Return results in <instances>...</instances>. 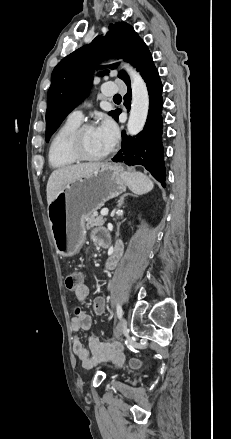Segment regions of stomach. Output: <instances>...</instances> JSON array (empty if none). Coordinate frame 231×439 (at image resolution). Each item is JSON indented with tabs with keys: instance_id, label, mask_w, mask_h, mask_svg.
Listing matches in <instances>:
<instances>
[{
	"instance_id": "obj_1",
	"label": "stomach",
	"mask_w": 231,
	"mask_h": 439,
	"mask_svg": "<svg viewBox=\"0 0 231 439\" xmlns=\"http://www.w3.org/2000/svg\"><path fill=\"white\" fill-rule=\"evenodd\" d=\"M125 171L104 164L93 173L69 183L48 205V219L57 253L76 255L86 236V217L126 190Z\"/></svg>"
}]
</instances>
